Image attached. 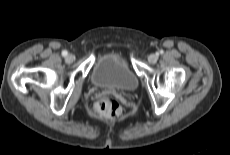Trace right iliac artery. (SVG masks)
Returning a JSON list of instances; mask_svg holds the SVG:
<instances>
[{
	"label": "right iliac artery",
	"mask_w": 230,
	"mask_h": 155,
	"mask_svg": "<svg viewBox=\"0 0 230 155\" xmlns=\"http://www.w3.org/2000/svg\"><path fill=\"white\" fill-rule=\"evenodd\" d=\"M68 55V52L66 50L62 51V56L66 57Z\"/></svg>",
	"instance_id": "82829eb1"
}]
</instances>
